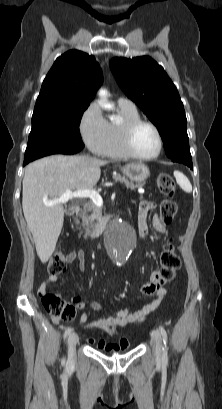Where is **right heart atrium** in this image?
<instances>
[{"label": "right heart atrium", "instance_id": "d8ad5b80", "mask_svg": "<svg viewBox=\"0 0 222 409\" xmlns=\"http://www.w3.org/2000/svg\"><path fill=\"white\" fill-rule=\"evenodd\" d=\"M79 131L86 146L100 154L108 140V122L96 102L89 104L83 111Z\"/></svg>", "mask_w": 222, "mask_h": 409}]
</instances>
